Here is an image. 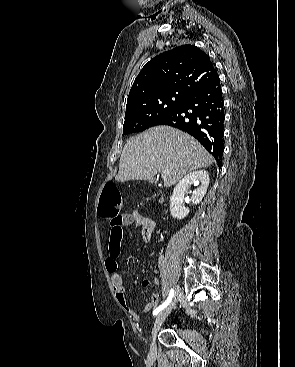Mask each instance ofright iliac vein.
I'll return each mask as SVG.
<instances>
[{
    "instance_id": "1",
    "label": "right iliac vein",
    "mask_w": 295,
    "mask_h": 367,
    "mask_svg": "<svg viewBox=\"0 0 295 367\" xmlns=\"http://www.w3.org/2000/svg\"><path fill=\"white\" fill-rule=\"evenodd\" d=\"M181 295L179 287L176 288L175 296L172 299V301L163 309L161 310L155 320L152 332H151V344H150V354L155 355L156 354V335L157 332L164 322V320L167 318V316L171 313V311L175 308L177 301Z\"/></svg>"
}]
</instances>
